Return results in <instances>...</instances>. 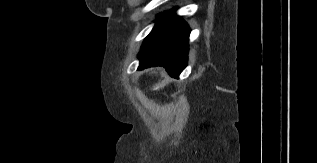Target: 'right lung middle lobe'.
<instances>
[{
  "label": "right lung middle lobe",
  "instance_id": "1",
  "mask_svg": "<svg viewBox=\"0 0 317 163\" xmlns=\"http://www.w3.org/2000/svg\"><path fill=\"white\" fill-rule=\"evenodd\" d=\"M163 15V14H162ZM162 15L158 16V19L162 18Z\"/></svg>",
  "mask_w": 317,
  "mask_h": 163
}]
</instances>
